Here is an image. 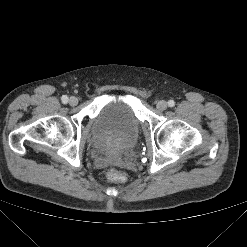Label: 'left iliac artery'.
<instances>
[{"label": "left iliac artery", "instance_id": "1", "mask_svg": "<svg viewBox=\"0 0 247 247\" xmlns=\"http://www.w3.org/2000/svg\"><path fill=\"white\" fill-rule=\"evenodd\" d=\"M174 105H175L174 100H169V101H168V106H169V107H173Z\"/></svg>", "mask_w": 247, "mask_h": 247}]
</instances>
